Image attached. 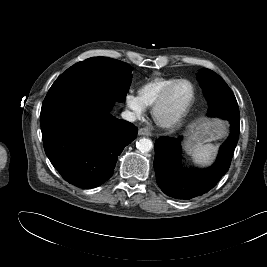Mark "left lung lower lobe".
<instances>
[{"instance_id": "left-lung-lower-lobe-1", "label": "left lung lower lobe", "mask_w": 267, "mask_h": 267, "mask_svg": "<svg viewBox=\"0 0 267 267\" xmlns=\"http://www.w3.org/2000/svg\"><path fill=\"white\" fill-rule=\"evenodd\" d=\"M211 117L230 122L231 132L221 146L215 164L205 170H186L180 165V141L162 136L155 143L154 169L158 186L170 197L191 199L208 192L229 169L233 152L238 142L240 115L238 106L227 111H218Z\"/></svg>"}]
</instances>
